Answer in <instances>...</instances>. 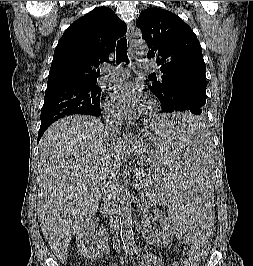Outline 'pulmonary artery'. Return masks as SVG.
Returning a JSON list of instances; mask_svg holds the SVG:
<instances>
[{
  "label": "pulmonary artery",
  "instance_id": "1",
  "mask_svg": "<svg viewBox=\"0 0 253 266\" xmlns=\"http://www.w3.org/2000/svg\"><path fill=\"white\" fill-rule=\"evenodd\" d=\"M137 70L145 71H154L156 70L152 65L145 61L141 60L136 63ZM105 71L107 73V78L111 81H121L126 79L129 76V70L123 67H110L106 66Z\"/></svg>",
  "mask_w": 253,
  "mask_h": 266
}]
</instances>
